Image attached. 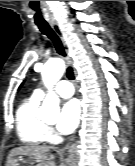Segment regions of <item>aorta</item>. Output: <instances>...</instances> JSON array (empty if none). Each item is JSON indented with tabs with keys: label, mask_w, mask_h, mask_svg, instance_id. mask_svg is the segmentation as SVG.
I'll use <instances>...</instances> for the list:
<instances>
[{
	"label": "aorta",
	"mask_w": 135,
	"mask_h": 166,
	"mask_svg": "<svg viewBox=\"0 0 135 166\" xmlns=\"http://www.w3.org/2000/svg\"><path fill=\"white\" fill-rule=\"evenodd\" d=\"M65 70L64 61L61 59H53L45 64L42 70V79L45 86L49 89L42 106L39 109V114L47 117L50 115L59 114V98L52 92V87L62 77Z\"/></svg>",
	"instance_id": "762f6f07"
}]
</instances>
